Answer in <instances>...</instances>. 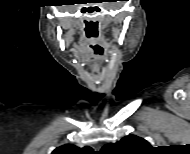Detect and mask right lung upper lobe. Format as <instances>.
<instances>
[{"instance_id": "obj_1", "label": "right lung upper lobe", "mask_w": 190, "mask_h": 154, "mask_svg": "<svg viewBox=\"0 0 190 154\" xmlns=\"http://www.w3.org/2000/svg\"><path fill=\"white\" fill-rule=\"evenodd\" d=\"M91 152L92 149L90 147L79 148L74 145H64L56 148L51 154H81Z\"/></svg>"}]
</instances>
